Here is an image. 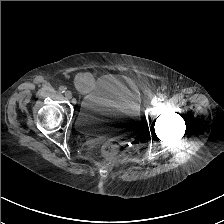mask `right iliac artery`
Listing matches in <instances>:
<instances>
[{"label": "right iliac artery", "instance_id": "82829eb1", "mask_svg": "<svg viewBox=\"0 0 224 224\" xmlns=\"http://www.w3.org/2000/svg\"><path fill=\"white\" fill-rule=\"evenodd\" d=\"M65 90H66V88H65L64 86H60V87H59V92H60V93H64Z\"/></svg>", "mask_w": 224, "mask_h": 224}]
</instances>
